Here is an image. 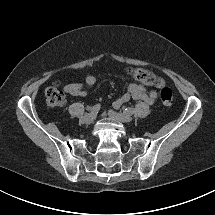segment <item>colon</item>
<instances>
[{
    "mask_svg": "<svg viewBox=\"0 0 215 215\" xmlns=\"http://www.w3.org/2000/svg\"><path fill=\"white\" fill-rule=\"evenodd\" d=\"M128 73L135 80L155 87H162L160 92V99L163 105L170 106L173 103V94L170 88L163 87V79L157 77L154 73L149 70L142 68H131ZM46 102L50 106H60L65 102V95L56 87H49L45 92Z\"/></svg>",
    "mask_w": 215,
    "mask_h": 215,
    "instance_id": "obj_1",
    "label": "colon"
}]
</instances>
